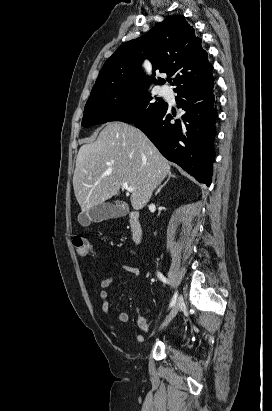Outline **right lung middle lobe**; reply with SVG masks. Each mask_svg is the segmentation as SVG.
Listing matches in <instances>:
<instances>
[{"label":"right lung middle lobe","mask_w":272,"mask_h":411,"mask_svg":"<svg viewBox=\"0 0 272 411\" xmlns=\"http://www.w3.org/2000/svg\"><path fill=\"white\" fill-rule=\"evenodd\" d=\"M148 93L146 86L116 85L107 89L91 91L85 105L82 125L122 121L134 123L145 120L166 103Z\"/></svg>","instance_id":"right-lung-middle-lobe-1"}]
</instances>
